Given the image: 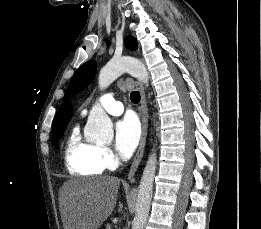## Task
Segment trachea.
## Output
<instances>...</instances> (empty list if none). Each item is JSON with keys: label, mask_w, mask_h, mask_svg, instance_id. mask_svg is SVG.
<instances>
[{"label": "trachea", "mask_w": 261, "mask_h": 229, "mask_svg": "<svg viewBox=\"0 0 261 229\" xmlns=\"http://www.w3.org/2000/svg\"><path fill=\"white\" fill-rule=\"evenodd\" d=\"M130 99L134 104H138L140 102V93L137 91L131 92Z\"/></svg>", "instance_id": "3493384b"}]
</instances>
